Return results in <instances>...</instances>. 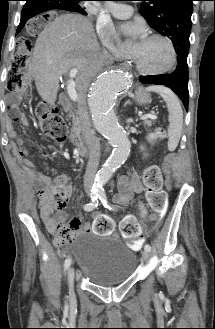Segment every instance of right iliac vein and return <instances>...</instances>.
<instances>
[{
  "mask_svg": "<svg viewBox=\"0 0 215 329\" xmlns=\"http://www.w3.org/2000/svg\"><path fill=\"white\" fill-rule=\"evenodd\" d=\"M74 277H75L74 268L70 267L68 269L67 278H68V287H69V294H70V299L71 300H74V298H75V294H74Z\"/></svg>",
  "mask_w": 215,
  "mask_h": 329,
  "instance_id": "right-iliac-vein-1",
  "label": "right iliac vein"
}]
</instances>
